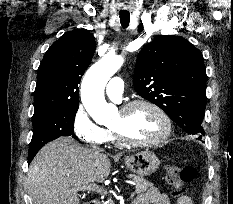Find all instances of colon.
<instances>
[{"label": "colon", "mask_w": 233, "mask_h": 204, "mask_svg": "<svg viewBox=\"0 0 233 204\" xmlns=\"http://www.w3.org/2000/svg\"><path fill=\"white\" fill-rule=\"evenodd\" d=\"M197 170L191 165H169L166 168V181L171 186L172 196L184 193L185 186L195 180Z\"/></svg>", "instance_id": "1"}]
</instances>
